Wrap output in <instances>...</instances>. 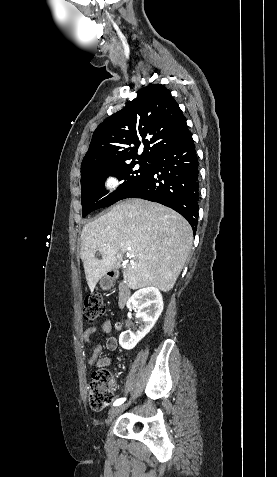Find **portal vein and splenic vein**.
Masks as SVG:
<instances>
[{
    "label": "portal vein and splenic vein",
    "mask_w": 277,
    "mask_h": 477,
    "mask_svg": "<svg viewBox=\"0 0 277 477\" xmlns=\"http://www.w3.org/2000/svg\"><path fill=\"white\" fill-rule=\"evenodd\" d=\"M128 255H129L130 257H135V254H134V252L131 250V248L128 249Z\"/></svg>",
    "instance_id": "1"
}]
</instances>
